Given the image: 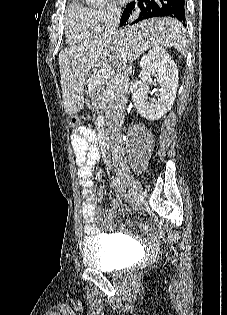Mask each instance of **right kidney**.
I'll return each mask as SVG.
<instances>
[{
    "label": "right kidney",
    "mask_w": 227,
    "mask_h": 315,
    "mask_svg": "<svg viewBox=\"0 0 227 315\" xmlns=\"http://www.w3.org/2000/svg\"><path fill=\"white\" fill-rule=\"evenodd\" d=\"M140 66L142 85L134 92L133 103L140 115L148 120H158L166 114L173 105L178 87V69L171 56L162 47H153L148 54L143 55ZM157 74L158 91H151L153 83L151 75Z\"/></svg>",
    "instance_id": "ca27d5eb"
}]
</instances>
